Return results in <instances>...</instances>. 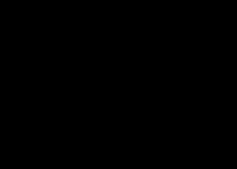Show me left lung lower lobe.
I'll use <instances>...</instances> for the list:
<instances>
[{
    "instance_id": "obj_1",
    "label": "left lung lower lobe",
    "mask_w": 237,
    "mask_h": 169,
    "mask_svg": "<svg viewBox=\"0 0 237 169\" xmlns=\"http://www.w3.org/2000/svg\"><path fill=\"white\" fill-rule=\"evenodd\" d=\"M134 106L133 128L143 141L150 144H162L172 140L187 119L143 100H137Z\"/></svg>"
}]
</instances>
